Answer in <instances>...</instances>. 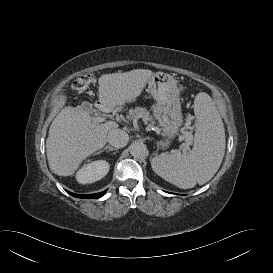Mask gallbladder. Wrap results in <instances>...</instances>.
<instances>
[{
    "label": "gallbladder",
    "mask_w": 273,
    "mask_h": 273,
    "mask_svg": "<svg viewBox=\"0 0 273 273\" xmlns=\"http://www.w3.org/2000/svg\"><path fill=\"white\" fill-rule=\"evenodd\" d=\"M82 108L84 109V110H86V111H92V105L90 104V103H88V102H84L83 104H82Z\"/></svg>",
    "instance_id": "1"
}]
</instances>
